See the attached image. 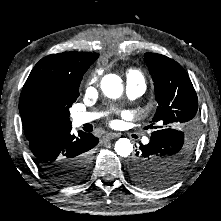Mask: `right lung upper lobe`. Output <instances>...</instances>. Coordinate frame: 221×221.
<instances>
[{
	"mask_svg": "<svg viewBox=\"0 0 221 221\" xmlns=\"http://www.w3.org/2000/svg\"><path fill=\"white\" fill-rule=\"evenodd\" d=\"M99 54L88 52H65L42 58L32 69L19 99V111L24 133L28 141L36 135L62 126L71 125L69 118L37 121L26 113V101L31 92L45 85H61L70 90H78L77 83Z\"/></svg>",
	"mask_w": 221,
	"mask_h": 221,
	"instance_id": "1",
	"label": "right lung upper lobe"
}]
</instances>
